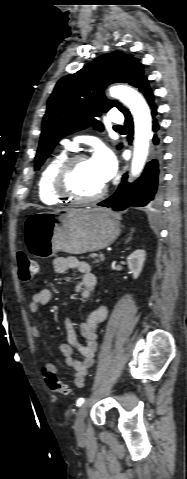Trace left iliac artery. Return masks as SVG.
Here are the masks:
<instances>
[{
    "label": "left iliac artery",
    "instance_id": "left-iliac-artery-1",
    "mask_svg": "<svg viewBox=\"0 0 187 479\" xmlns=\"http://www.w3.org/2000/svg\"><path fill=\"white\" fill-rule=\"evenodd\" d=\"M85 399L84 398H79L76 402L77 406H81L84 403Z\"/></svg>",
    "mask_w": 187,
    "mask_h": 479
}]
</instances>
